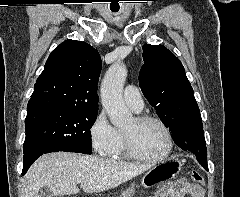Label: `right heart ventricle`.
Masks as SVG:
<instances>
[{"label": "right heart ventricle", "instance_id": "e07e8e85", "mask_svg": "<svg viewBox=\"0 0 240 197\" xmlns=\"http://www.w3.org/2000/svg\"><path fill=\"white\" fill-rule=\"evenodd\" d=\"M118 132V141L116 144L115 149L113 150L110 157L115 160H130L132 157L129 155V153L126 150L123 132L120 130H117Z\"/></svg>", "mask_w": 240, "mask_h": 197}]
</instances>
